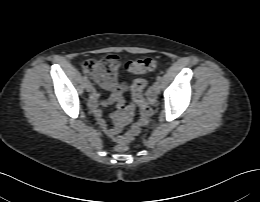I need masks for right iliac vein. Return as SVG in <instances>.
Instances as JSON below:
<instances>
[{"label": "right iliac vein", "mask_w": 260, "mask_h": 202, "mask_svg": "<svg viewBox=\"0 0 260 202\" xmlns=\"http://www.w3.org/2000/svg\"><path fill=\"white\" fill-rule=\"evenodd\" d=\"M85 89H86L87 92H91L93 90V86L89 81H86Z\"/></svg>", "instance_id": "obj_1"}]
</instances>
